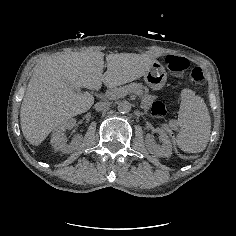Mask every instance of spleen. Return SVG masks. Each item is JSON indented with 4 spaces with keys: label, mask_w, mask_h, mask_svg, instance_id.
<instances>
[{
    "label": "spleen",
    "mask_w": 236,
    "mask_h": 236,
    "mask_svg": "<svg viewBox=\"0 0 236 236\" xmlns=\"http://www.w3.org/2000/svg\"><path fill=\"white\" fill-rule=\"evenodd\" d=\"M184 99L178 114L177 144L186 153L202 152L209 141L211 118L204 100L191 90L183 91Z\"/></svg>",
    "instance_id": "1"
}]
</instances>
